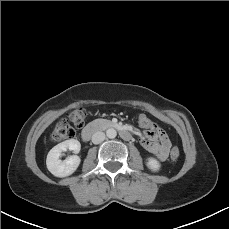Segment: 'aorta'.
<instances>
[{"mask_svg": "<svg viewBox=\"0 0 229 229\" xmlns=\"http://www.w3.org/2000/svg\"><path fill=\"white\" fill-rule=\"evenodd\" d=\"M106 135L108 138L113 139L117 136V131L113 128H110L106 131Z\"/></svg>", "mask_w": 229, "mask_h": 229, "instance_id": "762f6f07", "label": "aorta"}]
</instances>
